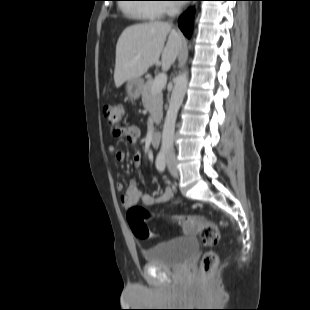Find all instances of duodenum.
Returning a JSON list of instances; mask_svg holds the SVG:
<instances>
[{
  "label": "duodenum",
  "instance_id": "410a0bca",
  "mask_svg": "<svg viewBox=\"0 0 310 310\" xmlns=\"http://www.w3.org/2000/svg\"><path fill=\"white\" fill-rule=\"evenodd\" d=\"M162 133L161 131L155 130L150 135L151 144L154 148H158L161 143Z\"/></svg>",
  "mask_w": 310,
  "mask_h": 310
}]
</instances>
